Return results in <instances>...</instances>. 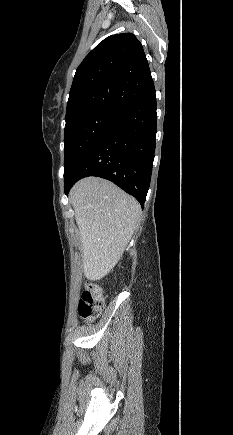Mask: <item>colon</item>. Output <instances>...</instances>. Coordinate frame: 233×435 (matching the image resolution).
I'll return each mask as SVG.
<instances>
[{"label": "colon", "instance_id": "1", "mask_svg": "<svg viewBox=\"0 0 233 435\" xmlns=\"http://www.w3.org/2000/svg\"><path fill=\"white\" fill-rule=\"evenodd\" d=\"M104 305L102 289L94 283H88L78 302V314L86 321H94L101 314Z\"/></svg>", "mask_w": 233, "mask_h": 435}]
</instances>
